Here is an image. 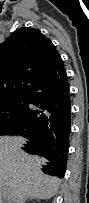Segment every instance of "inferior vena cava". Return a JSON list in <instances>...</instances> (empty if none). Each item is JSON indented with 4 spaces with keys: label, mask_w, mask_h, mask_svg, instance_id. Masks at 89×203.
Segmentation results:
<instances>
[{
    "label": "inferior vena cava",
    "mask_w": 89,
    "mask_h": 203,
    "mask_svg": "<svg viewBox=\"0 0 89 203\" xmlns=\"http://www.w3.org/2000/svg\"><path fill=\"white\" fill-rule=\"evenodd\" d=\"M17 203H25V200L23 197H20L16 200Z\"/></svg>",
    "instance_id": "602c4592"
}]
</instances>
